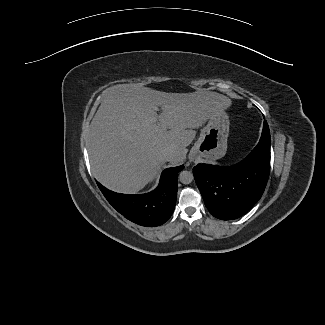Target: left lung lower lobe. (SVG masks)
<instances>
[{"mask_svg":"<svg viewBox=\"0 0 325 325\" xmlns=\"http://www.w3.org/2000/svg\"><path fill=\"white\" fill-rule=\"evenodd\" d=\"M270 131L266 121L257 146L232 166L198 164L193 168L205 206L221 220H233L261 198L270 172Z\"/></svg>","mask_w":325,"mask_h":325,"instance_id":"0a47b994","label":"left lung lower lobe"}]
</instances>
